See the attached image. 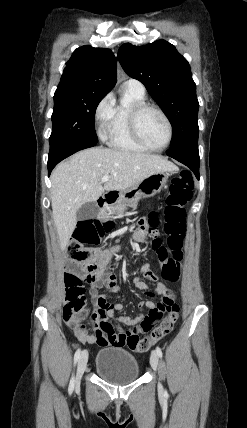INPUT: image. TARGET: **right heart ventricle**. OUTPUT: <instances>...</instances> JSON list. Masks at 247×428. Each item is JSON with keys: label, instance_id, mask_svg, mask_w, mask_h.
Returning <instances> with one entry per match:
<instances>
[{"label": "right heart ventricle", "instance_id": "1", "mask_svg": "<svg viewBox=\"0 0 247 428\" xmlns=\"http://www.w3.org/2000/svg\"><path fill=\"white\" fill-rule=\"evenodd\" d=\"M127 103L115 106V114L109 133V143L112 147L133 152H144L147 149L138 144L132 137L128 126L129 108L140 102H145V93L126 88Z\"/></svg>", "mask_w": 247, "mask_h": 428}]
</instances>
